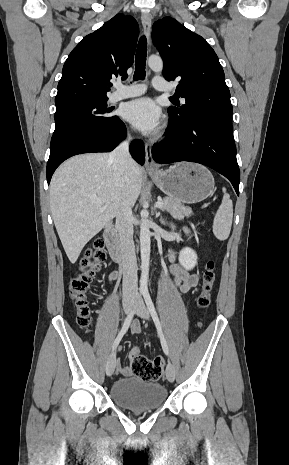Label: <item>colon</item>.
Returning a JSON list of instances; mask_svg holds the SVG:
<instances>
[{"label": "colon", "mask_w": 289, "mask_h": 465, "mask_svg": "<svg viewBox=\"0 0 289 465\" xmlns=\"http://www.w3.org/2000/svg\"><path fill=\"white\" fill-rule=\"evenodd\" d=\"M104 242L97 238L81 259L79 271L71 279L69 285L70 297L75 309L77 323L86 329L91 323V310L88 301V291L95 271L104 259ZM215 282V263L209 260L202 274L201 290L197 297V306L206 309L211 303V294ZM130 367L133 373L146 381H157L163 373V360L160 357L150 359L139 352L137 347L130 352Z\"/></svg>", "instance_id": "5ec220e1"}]
</instances>
